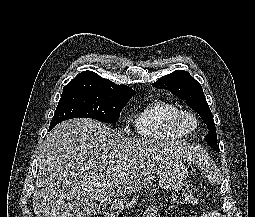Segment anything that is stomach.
<instances>
[{
	"mask_svg": "<svg viewBox=\"0 0 255 217\" xmlns=\"http://www.w3.org/2000/svg\"><path fill=\"white\" fill-rule=\"evenodd\" d=\"M187 176V171L182 160H175L165 166L158 175L160 186L165 190H173L179 186ZM123 203L115 200L110 203L112 214L118 215L123 210Z\"/></svg>",
	"mask_w": 255,
	"mask_h": 217,
	"instance_id": "obj_1",
	"label": "stomach"
}]
</instances>
